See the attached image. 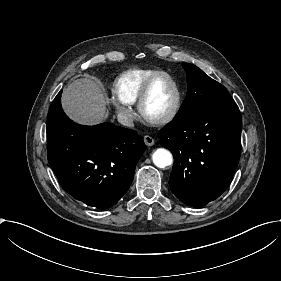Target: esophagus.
<instances>
[{"instance_id":"34e87169","label":"esophagus","mask_w":281,"mask_h":281,"mask_svg":"<svg viewBox=\"0 0 281 281\" xmlns=\"http://www.w3.org/2000/svg\"><path fill=\"white\" fill-rule=\"evenodd\" d=\"M143 139H144V143H145L147 146H152V145H154V139H153L151 136L145 135Z\"/></svg>"}]
</instances>
